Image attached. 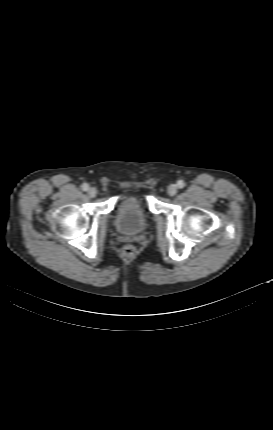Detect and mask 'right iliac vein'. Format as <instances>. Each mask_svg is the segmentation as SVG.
I'll return each mask as SVG.
<instances>
[{"label": "right iliac vein", "mask_w": 273, "mask_h": 430, "mask_svg": "<svg viewBox=\"0 0 273 430\" xmlns=\"http://www.w3.org/2000/svg\"><path fill=\"white\" fill-rule=\"evenodd\" d=\"M87 194L89 197L93 198L96 196L97 190L95 188L91 187L87 190Z\"/></svg>", "instance_id": "1"}]
</instances>
